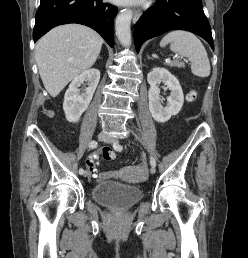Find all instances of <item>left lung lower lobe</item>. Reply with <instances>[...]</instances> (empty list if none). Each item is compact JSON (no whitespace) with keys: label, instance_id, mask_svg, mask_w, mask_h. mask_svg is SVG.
<instances>
[{"label":"left lung lower lobe","instance_id":"0a47b994","mask_svg":"<svg viewBox=\"0 0 248 258\" xmlns=\"http://www.w3.org/2000/svg\"><path fill=\"white\" fill-rule=\"evenodd\" d=\"M174 29L187 30L199 35L214 50L211 27L204 14L201 0H157L135 25L134 39L137 52L146 40Z\"/></svg>","mask_w":248,"mask_h":258}]
</instances>
